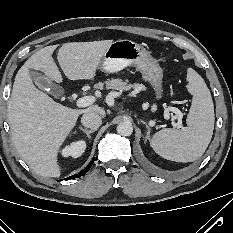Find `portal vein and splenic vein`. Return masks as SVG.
I'll use <instances>...</instances> for the list:
<instances>
[{"label":"portal vein and splenic vein","instance_id":"obj_1","mask_svg":"<svg viewBox=\"0 0 233 233\" xmlns=\"http://www.w3.org/2000/svg\"><path fill=\"white\" fill-rule=\"evenodd\" d=\"M95 101H96V98L94 96H84L82 98H79L76 101V106L79 107V108H84V107L92 105ZM168 110L175 113L176 117L178 119V123L173 124V126L178 127V128H182V117H183L182 112L178 108L171 107V106L168 107Z\"/></svg>","mask_w":233,"mask_h":233}]
</instances>
